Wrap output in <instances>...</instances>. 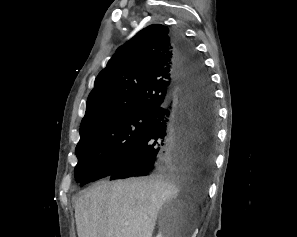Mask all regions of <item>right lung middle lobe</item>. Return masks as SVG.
I'll return each mask as SVG.
<instances>
[{"mask_svg":"<svg viewBox=\"0 0 297 237\" xmlns=\"http://www.w3.org/2000/svg\"><path fill=\"white\" fill-rule=\"evenodd\" d=\"M154 112H136L98 121L80 132L75 178L81 185L107 174L148 131Z\"/></svg>","mask_w":297,"mask_h":237,"instance_id":"obj_1","label":"right lung middle lobe"}]
</instances>
